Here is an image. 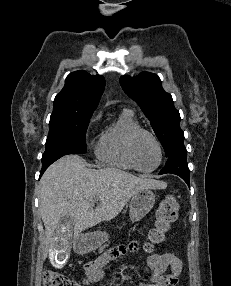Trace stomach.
<instances>
[{
	"instance_id": "stomach-1",
	"label": "stomach",
	"mask_w": 231,
	"mask_h": 286,
	"mask_svg": "<svg viewBox=\"0 0 231 286\" xmlns=\"http://www.w3.org/2000/svg\"><path fill=\"white\" fill-rule=\"evenodd\" d=\"M155 204V195L150 190H141L135 193L129 203V217L131 222H137L145 217ZM109 235L106 232H92L81 236L75 244L80 253H88L107 242Z\"/></svg>"
}]
</instances>
